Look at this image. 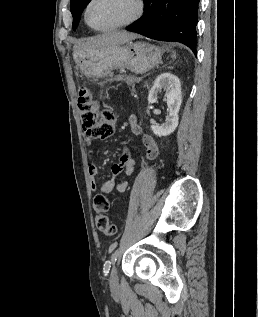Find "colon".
I'll list each match as a JSON object with an SVG mask.
<instances>
[{
  "instance_id": "1",
  "label": "colon",
  "mask_w": 258,
  "mask_h": 317,
  "mask_svg": "<svg viewBox=\"0 0 258 317\" xmlns=\"http://www.w3.org/2000/svg\"><path fill=\"white\" fill-rule=\"evenodd\" d=\"M78 106L82 116V126L88 137L104 139L114 133L116 121L113 113L102 108L100 103L85 89L80 91ZM93 207L98 230L107 236L114 235L117 227L111 223L106 214L110 208L108 198L103 194H97L94 197Z\"/></svg>"
}]
</instances>
